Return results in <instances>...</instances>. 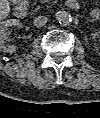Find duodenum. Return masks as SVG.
Masks as SVG:
<instances>
[{
  "instance_id": "obj_1",
  "label": "duodenum",
  "mask_w": 100,
  "mask_h": 118,
  "mask_svg": "<svg viewBox=\"0 0 100 118\" xmlns=\"http://www.w3.org/2000/svg\"><path fill=\"white\" fill-rule=\"evenodd\" d=\"M68 6L72 9H77L79 7L78 0H67ZM28 11V5L25 0H20L15 7V13L18 17H23Z\"/></svg>"
}]
</instances>
